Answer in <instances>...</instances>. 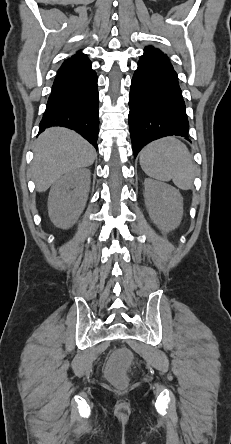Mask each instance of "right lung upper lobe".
<instances>
[{"mask_svg": "<svg viewBox=\"0 0 231 444\" xmlns=\"http://www.w3.org/2000/svg\"><path fill=\"white\" fill-rule=\"evenodd\" d=\"M91 65L88 57L80 51L71 58L65 60L58 70L57 75L69 74L81 71Z\"/></svg>", "mask_w": 231, "mask_h": 444, "instance_id": "cb5924a9", "label": "right lung upper lobe"}]
</instances>
